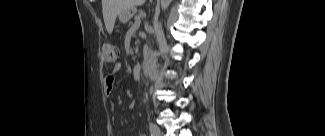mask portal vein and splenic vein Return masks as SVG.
I'll use <instances>...</instances> for the list:
<instances>
[{"label":"portal vein and splenic vein","mask_w":325,"mask_h":136,"mask_svg":"<svg viewBox=\"0 0 325 136\" xmlns=\"http://www.w3.org/2000/svg\"><path fill=\"white\" fill-rule=\"evenodd\" d=\"M138 24H140V20H138V21L135 22V25H138Z\"/></svg>","instance_id":"18ae733b"}]
</instances>
